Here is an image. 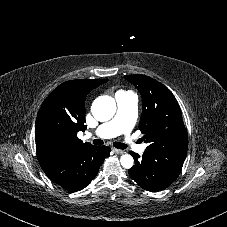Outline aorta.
Segmentation results:
<instances>
[{
  "instance_id": "1",
  "label": "aorta",
  "mask_w": 227,
  "mask_h": 227,
  "mask_svg": "<svg viewBox=\"0 0 227 227\" xmlns=\"http://www.w3.org/2000/svg\"><path fill=\"white\" fill-rule=\"evenodd\" d=\"M91 111L98 121H107L114 116L116 112V103L110 96H100L92 103ZM120 163L122 167L130 169L134 164V159L131 155L125 154L121 156Z\"/></svg>"
}]
</instances>
